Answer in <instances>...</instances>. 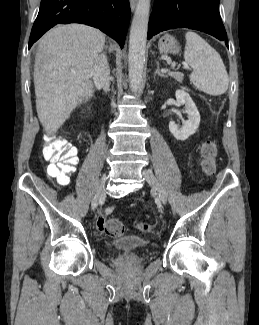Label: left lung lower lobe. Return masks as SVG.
<instances>
[{
	"label": "left lung lower lobe",
	"mask_w": 259,
	"mask_h": 325,
	"mask_svg": "<svg viewBox=\"0 0 259 325\" xmlns=\"http://www.w3.org/2000/svg\"><path fill=\"white\" fill-rule=\"evenodd\" d=\"M220 0H155L148 25V39L174 28L208 33L226 43L227 34L218 10Z\"/></svg>",
	"instance_id": "0a47b994"
}]
</instances>
